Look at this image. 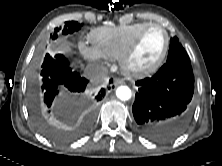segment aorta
<instances>
[{"label": "aorta", "mask_w": 222, "mask_h": 166, "mask_svg": "<svg viewBox=\"0 0 222 166\" xmlns=\"http://www.w3.org/2000/svg\"><path fill=\"white\" fill-rule=\"evenodd\" d=\"M131 90L128 86H119L116 90V96L122 101H127L131 98Z\"/></svg>", "instance_id": "obj_1"}]
</instances>
